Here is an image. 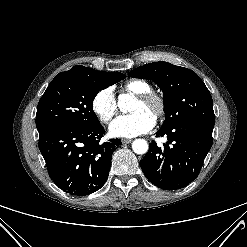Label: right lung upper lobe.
I'll return each instance as SVG.
<instances>
[{
	"label": "right lung upper lobe",
	"mask_w": 247,
	"mask_h": 247,
	"mask_svg": "<svg viewBox=\"0 0 247 247\" xmlns=\"http://www.w3.org/2000/svg\"><path fill=\"white\" fill-rule=\"evenodd\" d=\"M72 71H81V72H85L91 75H96V76H114V75H124L120 72H101V71H96L93 69H90L88 67H84L81 65H76L74 67H72L71 69ZM125 76V75H124Z\"/></svg>",
	"instance_id": "cb5924a9"
}]
</instances>
